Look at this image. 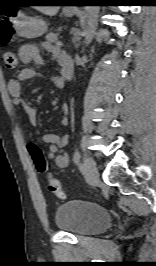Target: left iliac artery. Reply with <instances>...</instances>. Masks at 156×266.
I'll return each instance as SVG.
<instances>
[{"label":"left iliac artery","mask_w":156,"mask_h":266,"mask_svg":"<svg viewBox=\"0 0 156 266\" xmlns=\"http://www.w3.org/2000/svg\"><path fill=\"white\" fill-rule=\"evenodd\" d=\"M80 158H81V154H80V151L77 149L74 152V155H73V161H74V163L78 164L79 161H80Z\"/></svg>","instance_id":"44dca946"}]
</instances>
